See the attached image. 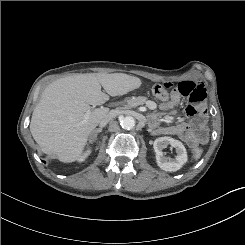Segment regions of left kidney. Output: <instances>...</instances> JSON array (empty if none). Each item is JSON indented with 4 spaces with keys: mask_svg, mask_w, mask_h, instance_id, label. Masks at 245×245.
Returning <instances> with one entry per match:
<instances>
[{
    "mask_svg": "<svg viewBox=\"0 0 245 245\" xmlns=\"http://www.w3.org/2000/svg\"><path fill=\"white\" fill-rule=\"evenodd\" d=\"M168 145L175 147L177 150V156L174 159L165 157L162 152ZM153 147L156 153L157 165L164 171L175 172L181 169L188 160L187 151L183 143L171 137L157 138L154 141Z\"/></svg>",
    "mask_w": 245,
    "mask_h": 245,
    "instance_id": "left-kidney-1",
    "label": "left kidney"
}]
</instances>
